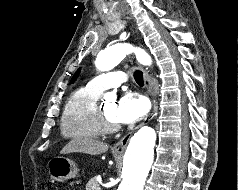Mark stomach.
<instances>
[{
	"mask_svg": "<svg viewBox=\"0 0 238 190\" xmlns=\"http://www.w3.org/2000/svg\"><path fill=\"white\" fill-rule=\"evenodd\" d=\"M113 153L114 155H117V153ZM47 167L51 178L58 182H64L68 179L75 178L79 172V169L73 160L62 156L51 159L48 162Z\"/></svg>",
	"mask_w": 238,
	"mask_h": 190,
	"instance_id": "0dacf381",
	"label": "stomach"
}]
</instances>
